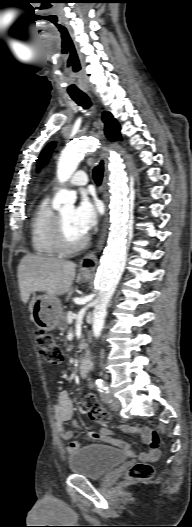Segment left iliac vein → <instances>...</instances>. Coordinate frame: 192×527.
<instances>
[{
    "instance_id": "1",
    "label": "left iliac vein",
    "mask_w": 192,
    "mask_h": 527,
    "mask_svg": "<svg viewBox=\"0 0 192 527\" xmlns=\"http://www.w3.org/2000/svg\"><path fill=\"white\" fill-rule=\"evenodd\" d=\"M108 401H109V405H110V408L111 410L113 411H118L121 407V404H120V401L111 397L110 395H108Z\"/></svg>"
}]
</instances>
